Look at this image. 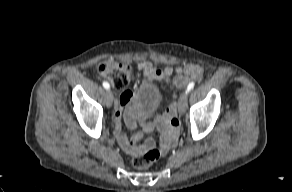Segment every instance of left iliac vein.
<instances>
[{"mask_svg": "<svg viewBox=\"0 0 292 192\" xmlns=\"http://www.w3.org/2000/svg\"><path fill=\"white\" fill-rule=\"evenodd\" d=\"M188 93H182L179 99V113L182 115L187 109Z\"/></svg>", "mask_w": 292, "mask_h": 192, "instance_id": "left-iliac-vein-1", "label": "left iliac vein"}]
</instances>
